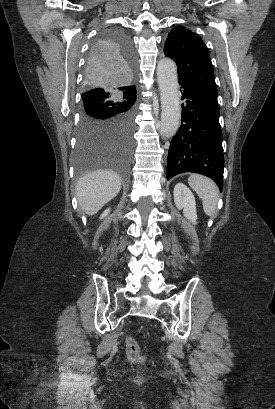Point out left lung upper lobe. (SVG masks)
<instances>
[{
    "mask_svg": "<svg viewBox=\"0 0 275 409\" xmlns=\"http://www.w3.org/2000/svg\"><path fill=\"white\" fill-rule=\"evenodd\" d=\"M164 52L175 61L179 82H190L218 94L207 47L197 34L174 27L168 34Z\"/></svg>",
    "mask_w": 275,
    "mask_h": 409,
    "instance_id": "left-lung-upper-lobe-1",
    "label": "left lung upper lobe"
}]
</instances>
